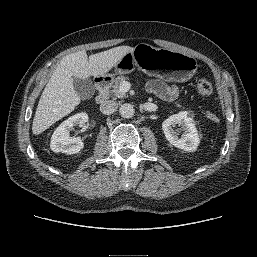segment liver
I'll use <instances>...</instances> for the list:
<instances>
[{
	"instance_id": "1",
	"label": "liver",
	"mask_w": 257,
	"mask_h": 257,
	"mask_svg": "<svg viewBox=\"0 0 257 257\" xmlns=\"http://www.w3.org/2000/svg\"><path fill=\"white\" fill-rule=\"evenodd\" d=\"M133 49L130 46L114 47L92 54L89 58L84 50L65 56L43 90L33 119V134H41L80 104L73 77L88 79L90 76H104Z\"/></svg>"
}]
</instances>
